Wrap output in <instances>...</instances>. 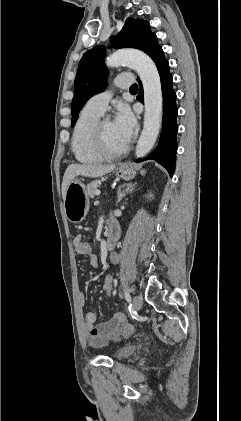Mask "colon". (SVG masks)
<instances>
[{
    "label": "colon",
    "mask_w": 241,
    "mask_h": 421,
    "mask_svg": "<svg viewBox=\"0 0 241 421\" xmlns=\"http://www.w3.org/2000/svg\"><path fill=\"white\" fill-rule=\"evenodd\" d=\"M76 251L79 254L87 255V254L91 253L92 246L88 241L83 240L77 245ZM102 289H103V292L105 293V295L107 297L112 296V294H113V279L110 275H105L103 277Z\"/></svg>",
    "instance_id": "5ec220e1"
}]
</instances>
